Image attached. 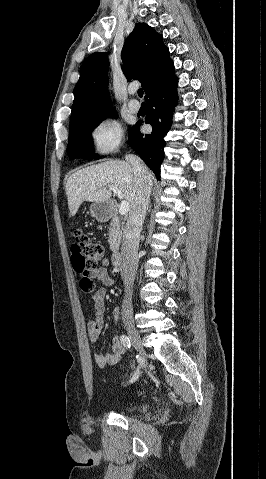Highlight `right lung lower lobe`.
<instances>
[{
    "instance_id": "right-lung-lower-lobe-1",
    "label": "right lung lower lobe",
    "mask_w": 266,
    "mask_h": 479,
    "mask_svg": "<svg viewBox=\"0 0 266 479\" xmlns=\"http://www.w3.org/2000/svg\"><path fill=\"white\" fill-rule=\"evenodd\" d=\"M177 78L172 77L146 96L148 114L145 123L151 124L152 133L143 135L138 121L129 133V145L139 154L146 165L160 177V165L164 158V136L172 124V113L177 103Z\"/></svg>"
}]
</instances>
